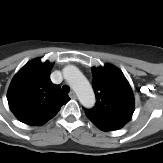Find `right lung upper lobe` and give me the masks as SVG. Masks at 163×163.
I'll use <instances>...</instances> for the list:
<instances>
[{"label":"right lung upper lobe","instance_id":"right-lung-upper-lobe-1","mask_svg":"<svg viewBox=\"0 0 163 163\" xmlns=\"http://www.w3.org/2000/svg\"><path fill=\"white\" fill-rule=\"evenodd\" d=\"M53 64L31 60L14 76L7 99L10 110L21 122L43 125L53 118L70 98L50 80Z\"/></svg>","mask_w":163,"mask_h":163}]
</instances>
